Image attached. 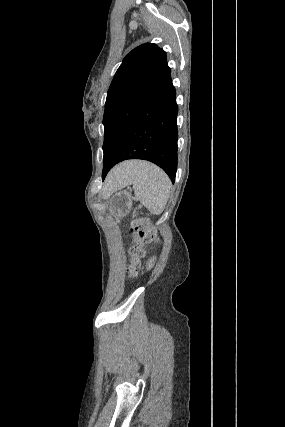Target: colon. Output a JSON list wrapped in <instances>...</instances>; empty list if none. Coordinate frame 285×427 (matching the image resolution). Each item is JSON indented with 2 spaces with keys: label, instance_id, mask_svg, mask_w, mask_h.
Listing matches in <instances>:
<instances>
[{
  "label": "colon",
  "instance_id": "obj_1",
  "mask_svg": "<svg viewBox=\"0 0 285 427\" xmlns=\"http://www.w3.org/2000/svg\"><path fill=\"white\" fill-rule=\"evenodd\" d=\"M130 230L137 235L136 245L131 248V253L134 256L142 255L143 250L141 244H152L157 242L156 232L149 226L147 219L140 218L133 220L130 225ZM152 265L153 260H150L148 266ZM128 270L131 276H135L138 270L136 262H134Z\"/></svg>",
  "mask_w": 285,
  "mask_h": 427
}]
</instances>
